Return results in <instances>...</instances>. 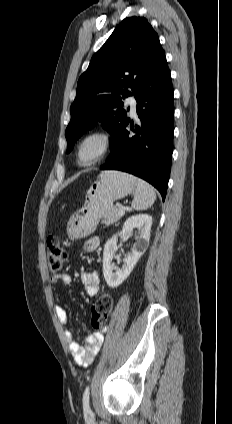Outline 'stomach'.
Here are the masks:
<instances>
[{
	"instance_id": "obj_1",
	"label": "stomach",
	"mask_w": 232,
	"mask_h": 424,
	"mask_svg": "<svg viewBox=\"0 0 232 424\" xmlns=\"http://www.w3.org/2000/svg\"><path fill=\"white\" fill-rule=\"evenodd\" d=\"M135 189L136 181L132 175L120 171L102 172L88 190L81 214L69 222L68 237L80 239L93 233L100 218L113 207L114 202Z\"/></svg>"
}]
</instances>
